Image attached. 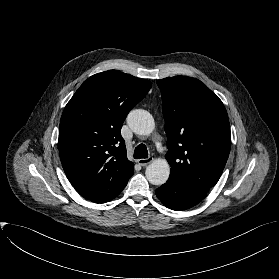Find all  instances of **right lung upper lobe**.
<instances>
[{"label":"right lung upper lobe","mask_w":279,"mask_h":279,"mask_svg":"<svg viewBox=\"0 0 279 279\" xmlns=\"http://www.w3.org/2000/svg\"><path fill=\"white\" fill-rule=\"evenodd\" d=\"M151 86L109 70L89 77L66 105L58 139L61 163L75 190L91 202L112 200L133 175L121 128Z\"/></svg>","instance_id":"1"}]
</instances>
